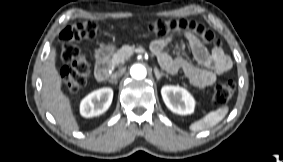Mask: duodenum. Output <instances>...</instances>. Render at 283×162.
<instances>
[{
    "mask_svg": "<svg viewBox=\"0 0 283 162\" xmlns=\"http://www.w3.org/2000/svg\"><path fill=\"white\" fill-rule=\"evenodd\" d=\"M109 52L99 50L96 54L95 77L99 82L107 80L109 77Z\"/></svg>",
    "mask_w": 283,
    "mask_h": 162,
    "instance_id": "obj_1",
    "label": "duodenum"
}]
</instances>
